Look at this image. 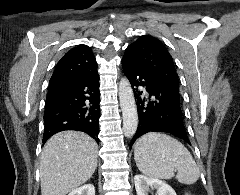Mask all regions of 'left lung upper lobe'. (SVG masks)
Segmentation results:
<instances>
[{
	"label": "left lung upper lobe",
	"mask_w": 240,
	"mask_h": 195,
	"mask_svg": "<svg viewBox=\"0 0 240 195\" xmlns=\"http://www.w3.org/2000/svg\"><path fill=\"white\" fill-rule=\"evenodd\" d=\"M124 58L145 69L166 86L179 91V79L173 59L158 39L141 36L126 48Z\"/></svg>",
	"instance_id": "5c2ea615"
}]
</instances>
